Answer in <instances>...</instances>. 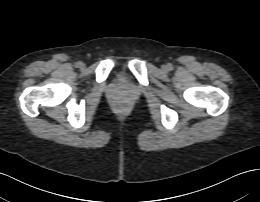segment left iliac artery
<instances>
[{"instance_id": "left-iliac-artery-1", "label": "left iliac artery", "mask_w": 260, "mask_h": 202, "mask_svg": "<svg viewBox=\"0 0 260 202\" xmlns=\"http://www.w3.org/2000/svg\"><path fill=\"white\" fill-rule=\"evenodd\" d=\"M168 68H169V69H172V65H171V64H168Z\"/></svg>"}]
</instances>
